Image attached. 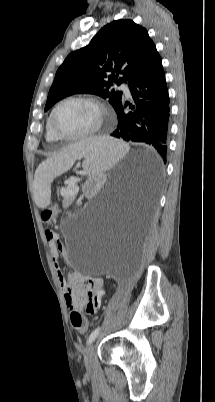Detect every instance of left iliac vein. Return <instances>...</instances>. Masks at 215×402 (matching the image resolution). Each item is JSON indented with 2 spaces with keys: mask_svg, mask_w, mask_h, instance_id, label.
<instances>
[{
  "mask_svg": "<svg viewBox=\"0 0 215 402\" xmlns=\"http://www.w3.org/2000/svg\"><path fill=\"white\" fill-rule=\"evenodd\" d=\"M95 347H96L95 343L92 342L86 348L85 355H84V363H85V366L87 369H90L92 367Z\"/></svg>",
  "mask_w": 215,
  "mask_h": 402,
  "instance_id": "left-iliac-vein-1",
  "label": "left iliac vein"
}]
</instances>
